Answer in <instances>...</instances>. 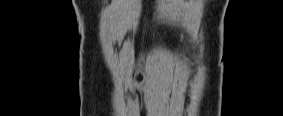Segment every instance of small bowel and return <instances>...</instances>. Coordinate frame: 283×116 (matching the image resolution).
Segmentation results:
<instances>
[{"instance_id": "c3829d8e", "label": "small bowel", "mask_w": 283, "mask_h": 116, "mask_svg": "<svg viewBox=\"0 0 283 116\" xmlns=\"http://www.w3.org/2000/svg\"><path fill=\"white\" fill-rule=\"evenodd\" d=\"M181 39L183 38V36L181 35V36H179Z\"/></svg>"}]
</instances>
